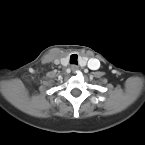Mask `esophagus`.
<instances>
[{
	"mask_svg": "<svg viewBox=\"0 0 145 145\" xmlns=\"http://www.w3.org/2000/svg\"><path fill=\"white\" fill-rule=\"evenodd\" d=\"M71 70H72L73 72H77V71L79 70V67H78L77 65H72V66H71Z\"/></svg>",
	"mask_w": 145,
	"mask_h": 145,
	"instance_id": "obj_1",
	"label": "esophagus"
}]
</instances>
